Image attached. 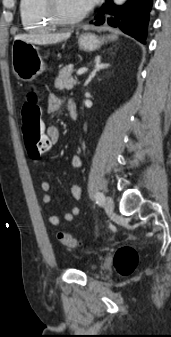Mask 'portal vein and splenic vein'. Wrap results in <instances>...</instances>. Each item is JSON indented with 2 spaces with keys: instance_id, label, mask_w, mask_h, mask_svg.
<instances>
[{
  "instance_id": "obj_1",
  "label": "portal vein and splenic vein",
  "mask_w": 171,
  "mask_h": 337,
  "mask_svg": "<svg viewBox=\"0 0 171 337\" xmlns=\"http://www.w3.org/2000/svg\"><path fill=\"white\" fill-rule=\"evenodd\" d=\"M86 71H87V68H80V69L77 71V75H82V74H84Z\"/></svg>"
}]
</instances>
